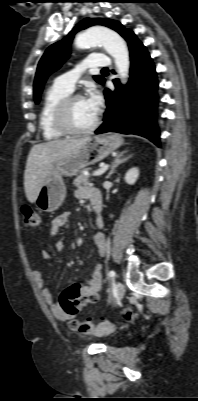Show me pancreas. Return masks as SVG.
<instances>
[{"instance_id": "1", "label": "pancreas", "mask_w": 198, "mask_h": 401, "mask_svg": "<svg viewBox=\"0 0 198 401\" xmlns=\"http://www.w3.org/2000/svg\"><path fill=\"white\" fill-rule=\"evenodd\" d=\"M89 169L86 168L85 171H88ZM90 176L85 175L83 172H81L74 180H73V185L76 186L77 188H83L91 184V181L89 180Z\"/></svg>"}]
</instances>
